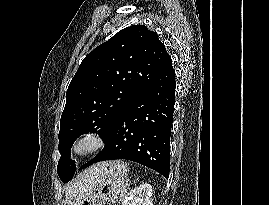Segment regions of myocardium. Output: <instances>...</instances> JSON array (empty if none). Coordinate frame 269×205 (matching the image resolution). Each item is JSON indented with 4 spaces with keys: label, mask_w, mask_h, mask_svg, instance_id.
I'll list each match as a JSON object with an SVG mask.
<instances>
[{
    "label": "myocardium",
    "mask_w": 269,
    "mask_h": 205,
    "mask_svg": "<svg viewBox=\"0 0 269 205\" xmlns=\"http://www.w3.org/2000/svg\"><path fill=\"white\" fill-rule=\"evenodd\" d=\"M84 145V147H82ZM106 146L105 136L97 129L89 128L79 132L71 142L70 152L75 157H85Z\"/></svg>",
    "instance_id": "f54148a6"
}]
</instances>
